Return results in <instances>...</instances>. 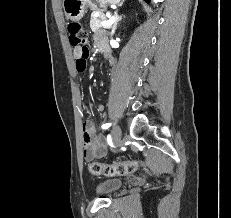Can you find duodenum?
<instances>
[{
	"mask_svg": "<svg viewBox=\"0 0 231 218\" xmlns=\"http://www.w3.org/2000/svg\"><path fill=\"white\" fill-rule=\"evenodd\" d=\"M104 55L109 60L112 58V56H111V54H110V52L108 50H104Z\"/></svg>",
	"mask_w": 231,
	"mask_h": 218,
	"instance_id": "obj_1",
	"label": "duodenum"
}]
</instances>
